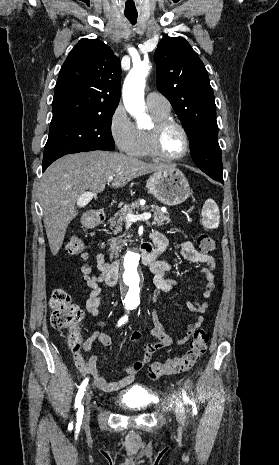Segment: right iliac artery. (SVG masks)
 Listing matches in <instances>:
<instances>
[{
	"label": "right iliac artery",
	"mask_w": 279,
	"mask_h": 465,
	"mask_svg": "<svg viewBox=\"0 0 279 465\" xmlns=\"http://www.w3.org/2000/svg\"><path fill=\"white\" fill-rule=\"evenodd\" d=\"M127 310H130V309H133L131 307H126ZM128 319V316L125 315L123 316L119 322H118V326L124 324ZM88 384V378H86L82 384L80 385L79 387V390H78V393H77V396H76V399H75V408H78V412H77V422L78 423H81L82 422V418H83V413H84V408H83V405H82V398L84 396V392H85V389H86V386Z\"/></svg>",
	"instance_id": "82829eb1"
}]
</instances>
